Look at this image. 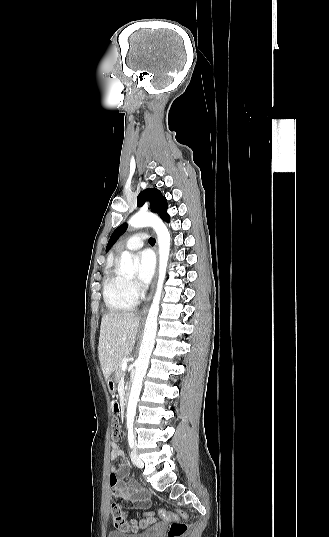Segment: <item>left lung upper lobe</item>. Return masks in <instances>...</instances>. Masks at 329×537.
Returning a JSON list of instances; mask_svg holds the SVG:
<instances>
[{"label": "left lung upper lobe", "instance_id": "5c2ea615", "mask_svg": "<svg viewBox=\"0 0 329 537\" xmlns=\"http://www.w3.org/2000/svg\"><path fill=\"white\" fill-rule=\"evenodd\" d=\"M146 201L150 202L151 211L154 213H158L165 221L169 222L170 217L167 214V201L166 198L162 195V193L155 188L151 189H145L142 191L137 198V206L141 207ZM126 224H122L119 226L111 235L109 242L106 247V251H108L114 243L117 241V239L120 237L122 232L125 230Z\"/></svg>", "mask_w": 329, "mask_h": 537}]
</instances>
